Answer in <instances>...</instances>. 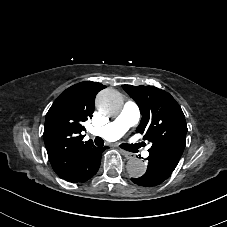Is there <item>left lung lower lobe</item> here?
Instances as JSON below:
<instances>
[{"instance_id":"0a47b994","label":"left lung lower lobe","mask_w":227,"mask_h":227,"mask_svg":"<svg viewBox=\"0 0 227 227\" xmlns=\"http://www.w3.org/2000/svg\"><path fill=\"white\" fill-rule=\"evenodd\" d=\"M148 161L146 173L142 177L131 178L134 183L145 187L156 186L165 181L176 168L156 157L149 156Z\"/></svg>"}]
</instances>
